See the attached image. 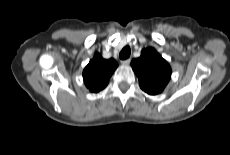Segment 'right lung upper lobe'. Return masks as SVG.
<instances>
[{"mask_svg": "<svg viewBox=\"0 0 230 155\" xmlns=\"http://www.w3.org/2000/svg\"><path fill=\"white\" fill-rule=\"evenodd\" d=\"M118 67L114 59L105 60L99 53H96L83 71V79L86 87L91 92H99L104 89Z\"/></svg>", "mask_w": 230, "mask_h": 155, "instance_id": "obj_1", "label": "right lung upper lobe"}]
</instances>
